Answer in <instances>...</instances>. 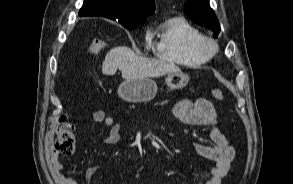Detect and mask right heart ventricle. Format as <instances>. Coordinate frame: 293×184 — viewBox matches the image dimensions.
Masks as SVG:
<instances>
[{"label":"right heart ventricle","mask_w":293,"mask_h":184,"mask_svg":"<svg viewBox=\"0 0 293 184\" xmlns=\"http://www.w3.org/2000/svg\"><path fill=\"white\" fill-rule=\"evenodd\" d=\"M201 32L183 17H170L158 27L155 55L164 61L193 67L206 63L208 56L198 49Z\"/></svg>","instance_id":"1"}]
</instances>
